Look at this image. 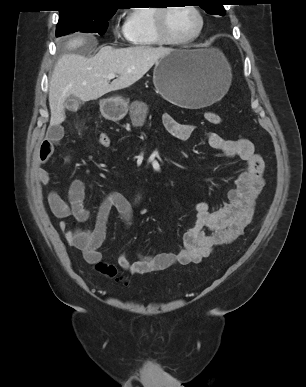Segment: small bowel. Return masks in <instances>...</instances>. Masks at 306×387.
<instances>
[{"instance_id": "c3829d8e", "label": "small bowel", "mask_w": 306, "mask_h": 387, "mask_svg": "<svg viewBox=\"0 0 306 387\" xmlns=\"http://www.w3.org/2000/svg\"><path fill=\"white\" fill-rule=\"evenodd\" d=\"M162 122L168 133L181 141L189 140L196 131V126L180 123L167 113L162 116ZM62 136V126L53 125L39 147L36 176L43 185L51 181L49 172L43 166L52 160L54 146ZM205 138L212 149L228 158L238 157L246 163L244 171L236 180V186L228 192L229 202L215 211H211L206 202L198 203L195 206V223L184 234L182 247L177 251L141 254L135 261H131L125 252L121 253L117 259L118 265L128 273L145 274L166 270L174 264L200 263L215 247L230 244L239 238L250 224L256 199L264 185L262 157L255 152L249 139L228 140L215 132H207ZM84 198L85 185L79 179L71 182L67 200L54 190L47 197L52 213L61 220L59 229L68 244L81 250L88 263L95 264L102 259L100 248L106 238L111 211L116 210L124 224L130 226L133 208L140 201V196L131 202L118 192H110L98 207L93 229L71 228L65 219L73 217L81 223L89 219L90 212L84 206Z\"/></svg>"}]
</instances>
